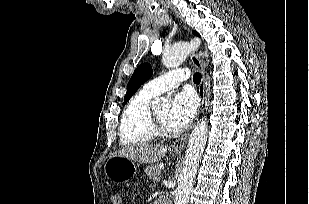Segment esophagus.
<instances>
[{
	"label": "esophagus",
	"mask_w": 309,
	"mask_h": 204,
	"mask_svg": "<svg viewBox=\"0 0 309 204\" xmlns=\"http://www.w3.org/2000/svg\"><path fill=\"white\" fill-rule=\"evenodd\" d=\"M190 59L192 61V63L194 64V66L201 72L202 75V80L199 86V97L201 100V105L204 104V100H205V85H206V77H205V68L204 65L201 61V59L198 57V55L196 53H191L190 55ZM189 138V132L185 133L184 135H182L181 137L177 138L171 145V148L173 150H183L187 141Z\"/></svg>",
	"instance_id": "1"
}]
</instances>
